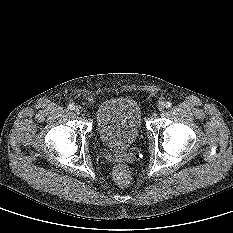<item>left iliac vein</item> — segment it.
<instances>
[{"label": "left iliac vein", "mask_w": 233, "mask_h": 233, "mask_svg": "<svg viewBox=\"0 0 233 233\" xmlns=\"http://www.w3.org/2000/svg\"><path fill=\"white\" fill-rule=\"evenodd\" d=\"M164 109H165V103L160 102V103L158 104V110H159V111H163Z\"/></svg>", "instance_id": "4c4485c4"}]
</instances>
